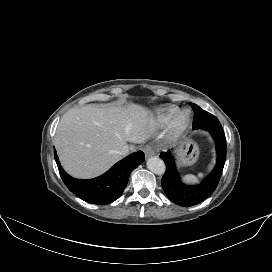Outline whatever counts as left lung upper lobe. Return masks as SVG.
Segmentation results:
<instances>
[{
    "instance_id": "obj_1",
    "label": "left lung upper lobe",
    "mask_w": 272,
    "mask_h": 272,
    "mask_svg": "<svg viewBox=\"0 0 272 272\" xmlns=\"http://www.w3.org/2000/svg\"><path fill=\"white\" fill-rule=\"evenodd\" d=\"M190 105L192 106V108L195 112L193 126H192L193 129L197 128L201 125H204V124H206L216 118L212 114L201 109L198 105H196L194 103H190Z\"/></svg>"
}]
</instances>
